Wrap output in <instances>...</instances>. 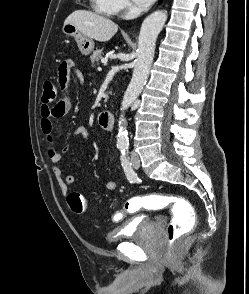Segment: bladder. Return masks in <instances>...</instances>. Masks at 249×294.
<instances>
[{
  "label": "bladder",
  "instance_id": "obj_1",
  "mask_svg": "<svg viewBox=\"0 0 249 294\" xmlns=\"http://www.w3.org/2000/svg\"><path fill=\"white\" fill-rule=\"evenodd\" d=\"M156 220V217L150 215L130 218L124 222V227L120 231L110 232L107 235V241L109 244H114L130 238L144 237Z\"/></svg>",
  "mask_w": 249,
  "mask_h": 294
}]
</instances>
